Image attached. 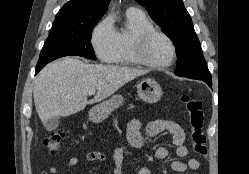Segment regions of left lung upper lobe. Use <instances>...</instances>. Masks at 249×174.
<instances>
[{
	"label": "left lung upper lobe",
	"mask_w": 249,
	"mask_h": 174,
	"mask_svg": "<svg viewBox=\"0 0 249 174\" xmlns=\"http://www.w3.org/2000/svg\"><path fill=\"white\" fill-rule=\"evenodd\" d=\"M173 41L177 54L175 74L191 79L210 78L200 42L182 0H135Z\"/></svg>",
	"instance_id": "1"
}]
</instances>
